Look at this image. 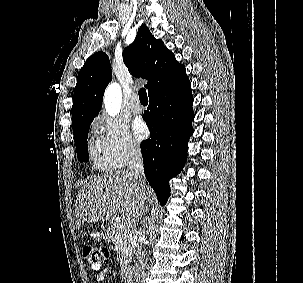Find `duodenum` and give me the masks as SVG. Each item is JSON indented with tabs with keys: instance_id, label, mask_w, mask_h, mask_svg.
<instances>
[{
	"instance_id": "410a0bca",
	"label": "duodenum",
	"mask_w": 303,
	"mask_h": 283,
	"mask_svg": "<svg viewBox=\"0 0 303 283\" xmlns=\"http://www.w3.org/2000/svg\"><path fill=\"white\" fill-rule=\"evenodd\" d=\"M123 276L127 283H132L131 275H130V268L128 266H124L123 269Z\"/></svg>"
}]
</instances>
